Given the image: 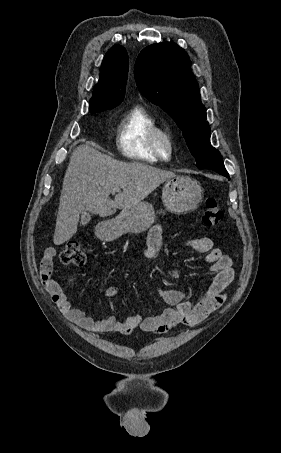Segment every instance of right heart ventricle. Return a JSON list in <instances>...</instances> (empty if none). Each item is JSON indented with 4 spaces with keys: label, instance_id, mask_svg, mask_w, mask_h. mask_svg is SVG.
Listing matches in <instances>:
<instances>
[{
    "label": "right heart ventricle",
    "instance_id": "right-heart-ventricle-1",
    "mask_svg": "<svg viewBox=\"0 0 281 453\" xmlns=\"http://www.w3.org/2000/svg\"><path fill=\"white\" fill-rule=\"evenodd\" d=\"M160 128L156 119L143 107L134 106L122 116L117 129V147L126 157L150 163L159 158L151 146L153 132Z\"/></svg>",
    "mask_w": 281,
    "mask_h": 453
}]
</instances>
